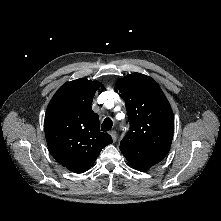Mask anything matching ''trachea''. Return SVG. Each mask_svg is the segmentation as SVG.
<instances>
[{
	"label": "trachea",
	"instance_id": "1",
	"mask_svg": "<svg viewBox=\"0 0 221 221\" xmlns=\"http://www.w3.org/2000/svg\"><path fill=\"white\" fill-rule=\"evenodd\" d=\"M113 126V121L110 118H105L102 125H101V130L106 132L111 130Z\"/></svg>",
	"mask_w": 221,
	"mask_h": 221
}]
</instances>
